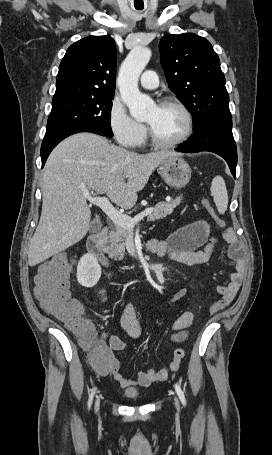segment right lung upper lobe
I'll use <instances>...</instances> for the list:
<instances>
[{
	"mask_svg": "<svg viewBox=\"0 0 272 455\" xmlns=\"http://www.w3.org/2000/svg\"><path fill=\"white\" fill-rule=\"evenodd\" d=\"M116 45L110 36H88L66 51L56 80L53 100L114 96Z\"/></svg>",
	"mask_w": 272,
	"mask_h": 455,
	"instance_id": "right-lung-upper-lobe-1",
	"label": "right lung upper lobe"
}]
</instances>
